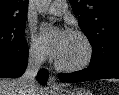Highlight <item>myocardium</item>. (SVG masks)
Listing matches in <instances>:
<instances>
[{"label":"myocardium","mask_w":119,"mask_h":95,"mask_svg":"<svg viewBox=\"0 0 119 95\" xmlns=\"http://www.w3.org/2000/svg\"><path fill=\"white\" fill-rule=\"evenodd\" d=\"M72 35L78 37L83 42L84 47H85V54L81 61H79L78 63H75V64H71V65L62 64L58 60H56L55 67L58 70H61L64 72H77V71H81V70L87 68L90 65V63L92 62V59L94 56L93 44H92L91 40L89 39V37L85 33L81 32V31H73Z\"/></svg>","instance_id":"myocardium-1"}]
</instances>
